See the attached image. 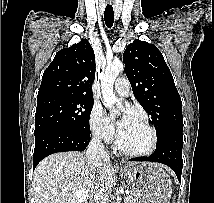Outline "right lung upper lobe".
<instances>
[{
	"instance_id": "obj_1",
	"label": "right lung upper lobe",
	"mask_w": 214,
	"mask_h": 203,
	"mask_svg": "<svg viewBox=\"0 0 214 203\" xmlns=\"http://www.w3.org/2000/svg\"><path fill=\"white\" fill-rule=\"evenodd\" d=\"M95 54L86 39L58 51L44 71L37 98L50 95L92 97Z\"/></svg>"
}]
</instances>
